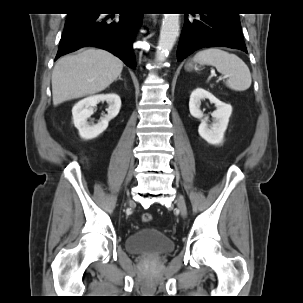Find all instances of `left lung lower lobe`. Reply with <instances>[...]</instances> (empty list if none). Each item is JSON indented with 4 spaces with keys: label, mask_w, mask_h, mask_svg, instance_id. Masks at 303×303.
Here are the masks:
<instances>
[{
    "label": "left lung lower lobe",
    "mask_w": 303,
    "mask_h": 303,
    "mask_svg": "<svg viewBox=\"0 0 303 303\" xmlns=\"http://www.w3.org/2000/svg\"><path fill=\"white\" fill-rule=\"evenodd\" d=\"M222 46L247 53L238 14L211 10L194 18L185 16L177 48L179 62L200 48Z\"/></svg>",
    "instance_id": "obj_1"
}]
</instances>
